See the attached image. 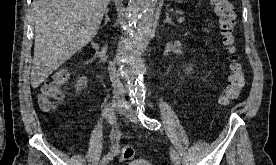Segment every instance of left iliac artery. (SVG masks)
I'll use <instances>...</instances> for the list:
<instances>
[{
    "mask_svg": "<svg viewBox=\"0 0 276 165\" xmlns=\"http://www.w3.org/2000/svg\"><path fill=\"white\" fill-rule=\"evenodd\" d=\"M144 104H145L144 100L137 101V111H138V117H139L140 121L142 122L143 126H145L146 128H148L150 130L159 129L160 123L157 120L151 119L144 114V112H143L145 110ZM170 156H171V159L173 162L180 163V158H179L178 153L172 148L170 150Z\"/></svg>",
    "mask_w": 276,
    "mask_h": 165,
    "instance_id": "obj_1",
    "label": "left iliac artery"
}]
</instances>
